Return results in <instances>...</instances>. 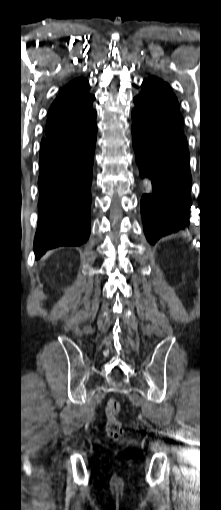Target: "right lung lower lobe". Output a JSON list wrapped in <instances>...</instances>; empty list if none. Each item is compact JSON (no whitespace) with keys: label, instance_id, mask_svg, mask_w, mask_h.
<instances>
[{"label":"right lung lower lobe","instance_id":"right-lung-lower-lobe-1","mask_svg":"<svg viewBox=\"0 0 221 510\" xmlns=\"http://www.w3.org/2000/svg\"><path fill=\"white\" fill-rule=\"evenodd\" d=\"M95 119L77 132L41 141L36 259L59 246H80L89 237Z\"/></svg>","mask_w":221,"mask_h":510}]
</instances>
